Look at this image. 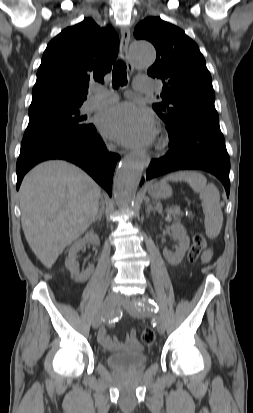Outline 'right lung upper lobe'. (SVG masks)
<instances>
[{
    "instance_id": "1",
    "label": "right lung upper lobe",
    "mask_w": 253,
    "mask_h": 413,
    "mask_svg": "<svg viewBox=\"0 0 253 413\" xmlns=\"http://www.w3.org/2000/svg\"><path fill=\"white\" fill-rule=\"evenodd\" d=\"M118 47L114 29L91 18L64 29L43 54L29 112L82 105L90 82L103 83Z\"/></svg>"
}]
</instances>
